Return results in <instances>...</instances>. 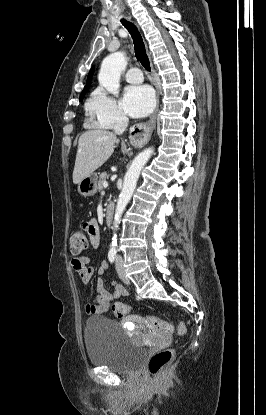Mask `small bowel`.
<instances>
[{"mask_svg":"<svg viewBox=\"0 0 266 415\" xmlns=\"http://www.w3.org/2000/svg\"><path fill=\"white\" fill-rule=\"evenodd\" d=\"M83 228L89 236L91 246L93 248H97L100 244V232L97 220L95 218H91L89 221L84 223ZM90 263L91 258L87 254H82L79 257L73 258L71 260L72 268L79 274L82 282L85 285L92 280L94 275V268L90 265ZM108 269V262L102 261L97 270L99 276V278L96 280L95 285L97 297L94 303L86 305V312L88 314L94 315L106 313L114 300L127 294L125 288L116 282H112L114 287L112 292L106 289L104 281L101 277L106 274Z\"/></svg>","mask_w":266,"mask_h":415,"instance_id":"small-bowel-1","label":"small bowel"}]
</instances>
